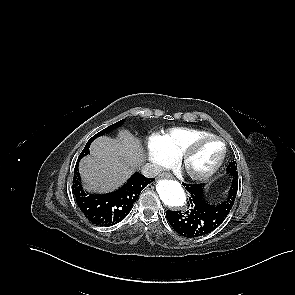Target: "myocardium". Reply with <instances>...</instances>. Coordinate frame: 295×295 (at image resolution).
<instances>
[{"instance_id": "obj_1", "label": "myocardium", "mask_w": 295, "mask_h": 295, "mask_svg": "<svg viewBox=\"0 0 295 295\" xmlns=\"http://www.w3.org/2000/svg\"><path fill=\"white\" fill-rule=\"evenodd\" d=\"M211 140L217 141L221 145V153H220V156L217 159V161L214 163V165L210 169H208L205 172L196 173V172L190 171L188 169V162H189V159L191 158V156L194 154V152L197 150V148L200 145H202L203 143H205L207 141H211ZM226 153H227V147H226V144L223 141V139L220 138L219 136L209 134L206 136L199 137V138L193 140L190 144H188V146L180 154L179 162H180L182 168L184 169V171L186 172V174L191 179L196 180V181H205V180H208L209 178H211L214 174H216L217 171L221 168V166L225 160Z\"/></svg>"}]
</instances>
